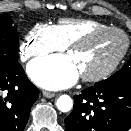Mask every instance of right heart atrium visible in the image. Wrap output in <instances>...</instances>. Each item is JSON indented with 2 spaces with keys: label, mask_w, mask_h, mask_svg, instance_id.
Segmentation results:
<instances>
[{
  "label": "right heart atrium",
  "mask_w": 131,
  "mask_h": 131,
  "mask_svg": "<svg viewBox=\"0 0 131 131\" xmlns=\"http://www.w3.org/2000/svg\"><path fill=\"white\" fill-rule=\"evenodd\" d=\"M64 48L53 26L37 24L26 34L20 46V55L24 61H27L31 58L43 57L54 51H61Z\"/></svg>",
  "instance_id": "obj_1"
}]
</instances>
